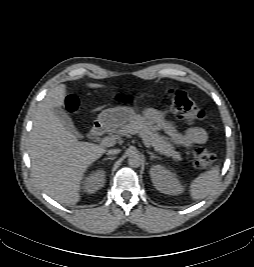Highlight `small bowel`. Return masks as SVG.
Returning <instances> with one entry per match:
<instances>
[{
    "instance_id": "1",
    "label": "small bowel",
    "mask_w": 254,
    "mask_h": 267,
    "mask_svg": "<svg viewBox=\"0 0 254 267\" xmlns=\"http://www.w3.org/2000/svg\"><path fill=\"white\" fill-rule=\"evenodd\" d=\"M145 117L158 129L163 130L166 135L177 145L189 148L193 145L204 144L208 135L207 132L200 127H191L185 132H180L170 122L166 121L163 114L153 108H149L144 112Z\"/></svg>"
}]
</instances>
